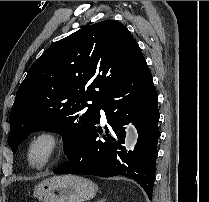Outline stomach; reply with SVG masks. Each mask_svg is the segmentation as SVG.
Wrapping results in <instances>:
<instances>
[{"label":"stomach","mask_w":209,"mask_h":202,"mask_svg":"<svg viewBox=\"0 0 209 202\" xmlns=\"http://www.w3.org/2000/svg\"><path fill=\"white\" fill-rule=\"evenodd\" d=\"M97 191L89 179L77 175L53 176L34 187V197L42 202H84Z\"/></svg>","instance_id":"obj_1"}]
</instances>
